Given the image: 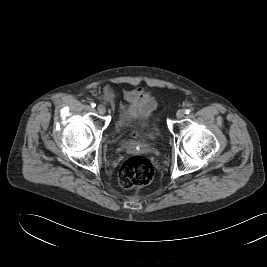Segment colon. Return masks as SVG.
I'll return each instance as SVG.
<instances>
[{"label": "colon", "instance_id": "5ec220e1", "mask_svg": "<svg viewBox=\"0 0 267 267\" xmlns=\"http://www.w3.org/2000/svg\"><path fill=\"white\" fill-rule=\"evenodd\" d=\"M132 136L138 137L137 131ZM154 167L151 161L142 156L127 159L118 173L119 185L126 190L148 185L154 178Z\"/></svg>", "mask_w": 267, "mask_h": 267}]
</instances>
